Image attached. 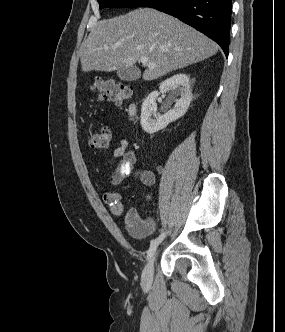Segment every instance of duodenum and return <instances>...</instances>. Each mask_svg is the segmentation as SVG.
<instances>
[{
    "label": "duodenum",
    "instance_id": "obj_1",
    "mask_svg": "<svg viewBox=\"0 0 285 332\" xmlns=\"http://www.w3.org/2000/svg\"><path fill=\"white\" fill-rule=\"evenodd\" d=\"M128 115L130 118H133L136 115V105L131 104L128 108Z\"/></svg>",
    "mask_w": 285,
    "mask_h": 332
}]
</instances>
